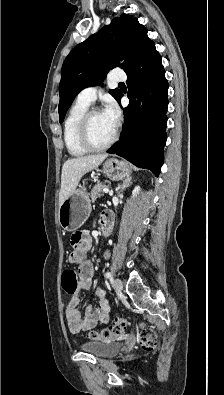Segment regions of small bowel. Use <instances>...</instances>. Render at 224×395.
Instances as JSON below:
<instances>
[{
  "instance_id": "obj_1",
  "label": "small bowel",
  "mask_w": 224,
  "mask_h": 395,
  "mask_svg": "<svg viewBox=\"0 0 224 395\" xmlns=\"http://www.w3.org/2000/svg\"><path fill=\"white\" fill-rule=\"evenodd\" d=\"M71 244L73 250L69 255V261L79 266L80 281L77 291L71 296L66 308L65 317L67 325L72 333L89 330L97 324H105L109 321L110 305L102 287L97 286L95 297L98 300V307L89 304L82 315L78 308L80 299L79 293L88 290L92 284L93 265L86 258L87 252L92 245V239L87 231H79L72 235Z\"/></svg>"
}]
</instances>
